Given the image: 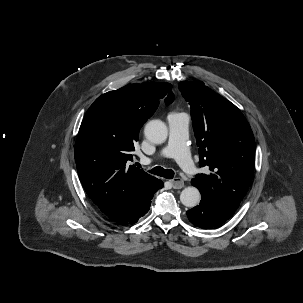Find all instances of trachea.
I'll list each match as a JSON object with an SVG mask.
<instances>
[{"label": "trachea", "instance_id": "3493384b", "mask_svg": "<svg viewBox=\"0 0 303 303\" xmlns=\"http://www.w3.org/2000/svg\"><path fill=\"white\" fill-rule=\"evenodd\" d=\"M150 173L164 177L166 179H172L174 177V171L172 169H164L160 166L154 167L149 171Z\"/></svg>", "mask_w": 303, "mask_h": 303}]
</instances>
